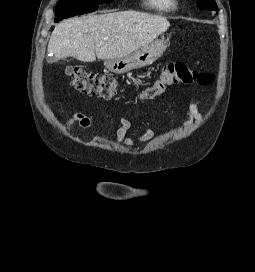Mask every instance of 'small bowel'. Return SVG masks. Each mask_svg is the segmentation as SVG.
I'll list each match as a JSON object with an SVG mask.
<instances>
[{
    "label": "small bowel",
    "mask_w": 255,
    "mask_h": 272,
    "mask_svg": "<svg viewBox=\"0 0 255 272\" xmlns=\"http://www.w3.org/2000/svg\"><path fill=\"white\" fill-rule=\"evenodd\" d=\"M201 118V114L194 101H191L185 110L184 127L189 126L192 122L198 121ZM68 126L77 124L80 130L88 128L91 124L90 118L84 113L74 114L67 122ZM131 127V122L126 117L119 118V127L116 134L112 139L116 140L119 144L127 147H132L137 141H150L155 136V131L152 128H148L143 133L137 136H127V132Z\"/></svg>",
    "instance_id": "1"
}]
</instances>
